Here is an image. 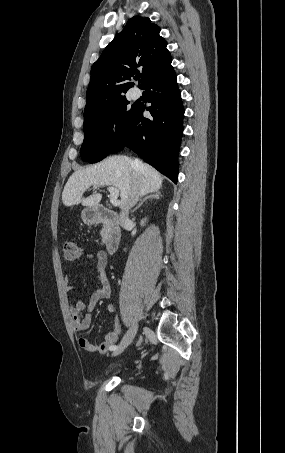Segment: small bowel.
Returning a JSON list of instances; mask_svg holds the SVG:
<instances>
[{"mask_svg":"<svg viewBox=\"0 0 285 453\" xmlns=\"http://www.w3.org/2000/svg\"><path fill=\"white\" fill-rule=\"evenodd\" d=\"M86 258L89 260H94L96 262L98 271L97 279L100 283V286L91 293L88 301L78 299L71 307L72 324L74 330L77 333H84L89 329L91 325V312L93 311L94 307L101 299L108 298L111 294V285L105 273L108 261L106 253L104 251H96L87 254ZM72 289V286H67L68 291H71ZM106 309L108 313H114V306L112 304H108ZM120 333V320L117 316H115L114 327L106 334L102 343L94 344L90 342L86 337L79 336L78 344L82 349L90 353L105 354L108 350H110L111 347L116 346Z\"/></svg>","mask_w":285,"mask_h":453,"instance_id":"obj_1","label":"small bowel"}]
</instances>
